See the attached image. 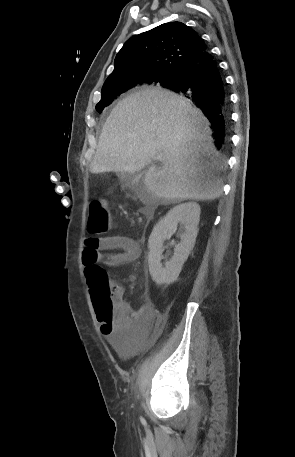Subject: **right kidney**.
<instances>
[{"instance_id":"obj_1","label":"right kidney","mask_w":295,"mask_h":457,"mask_svg":"<svg viewBox=\"0 0 295 457\" xmlns=\"http://www.w3.org/2000/svg\"><path fill=\"white\" fill-rule=\"evenodd\" d=\"M199 220L200 206L195 202H187L172 208L155 225L148 241V264L156 284L168 285L177 280L183 264L194 248ZM178 224L182 228L181 242L175 246L173 257L164 267L161 263L163 243L175 233Z\"/></svg>"}]
</instances>
